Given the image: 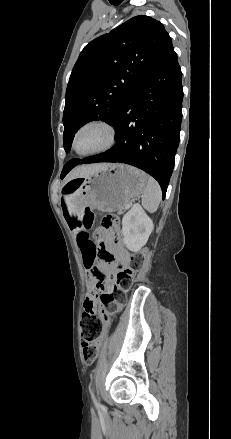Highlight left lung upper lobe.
<instances>
[{
    "instance_id": "left-lung-upper-lobe-1",
    "label": "left lung upper lobe",
    "mask_w": 231,
    "mask_h": 439,
    "mask_svg": "<svg viewBox=\"0 0 231 439\" xmlns=\"http://www.w3.org/2000/svg\"><path fill=\"white\" fill-rule=\"evenodd\" d=\"M172 47L163 24L145 15L133 17L88 43L67 85L65 151H70L75 133L84 124L103 120L113 125L132 89ZM68 166L67 162L61 178L69 172Z\"/></svg>"
}]
</instances>
